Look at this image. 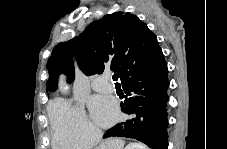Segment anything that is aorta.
Returning a JSON list of instances; mask_svg holds the SVG:
<instances>
[{
    "instance_id": "1",
    "label": "aorta",
    "mask_w": 227,
    "mask_h": 149,
    "mask_svg": "<svg viewBox=\"0 0 227 149\" xmlns=\"http://www.w3.org/2000/svg\"><path fill=\"white\" fill-rule=\"evenodd\" d=\"M60 92L62 93V94H64V95H67V94H69V88H68V86L66 85V84H64V83H61V85H60Z\"/></svg>"
}]
</instances>
